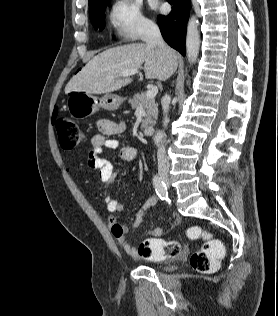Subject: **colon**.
Here are the masks:
<instances>
[{
    "label": "colon",
    "instance_id": "5ec220e1",
    "mask_svg": "<svg viewBox=\"0 0 278 316\" xmlns=\"http://www.w3.org/2000/svg\"><path fill=\"white\" fill-rule=\"evenodd\" d=\"M54 124L59 144L63 149H73L87 139L86 132L67 117H56ZM188 236L204 239L202 247L190 256V267L199 273L215 271L224 256L223 244L200 227L190 228ZM138 252L140 256L148 259L174 258L180 254L181 247L175 240L147 239L139 245Z\"/></svg>",
    "mask_w": 278,
    "mask_h": 316
}]
</instances>
